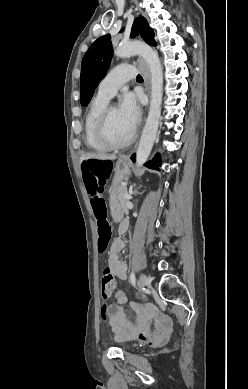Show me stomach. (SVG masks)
Here are the masks:
<instances>
[{"instance_id": "0dacf381", "label": "stomach", "mask_w": 248, "mask_h": 389, "mask_svg": "<svg viewBox=\"0 0 248 389\" xmlns=\"http://www.w3.org/2000/svg\"><path fill=\"white\" fill-rule=\"evenodd\" d=\"M114 182L111 185V195L109 203L111 206V214L113 220H123V210L120 209V202L116 191L122 189V181L125 180L130 174V163L123 158H120L116 164H114Z\"/></svg>"}]
</instances>
